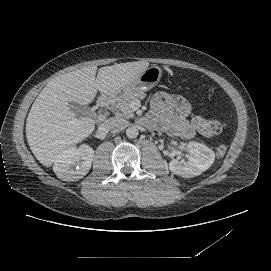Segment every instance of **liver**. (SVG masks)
<instances>
[{
  "instance_id": "1",
  "label": "liver",
  "mask_w": 271,
  "mask_h": 271,
  "mask_svg": "<svg viewBox=\"0 0 271 271\" xmlns=\"http://www.w3.org/2000/svg\"><path fill=\"white\" fill-rule=\"evenodd\" d=\"M135 61L104 66L84 67L51 79L34 100L26 119V139L37 160L50 166L63 150L82 141L93 131L95 122L77 117L69 102L89 104L97 91L107 94L129 85L147 67ZM97 73V75H96Z\"/></svg>"
}]
</instances>
